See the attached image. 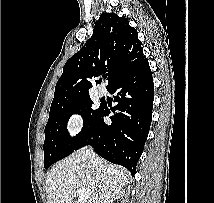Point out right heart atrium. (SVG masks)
Wrapping results in <instances>:
<instances>
[{"label": "right heart atrium", "mask_w": 214, "mask_h": 203, "mask_svg": "<svg viewBox=\"0 0 214 203\" xmlns=\"http://www.w3.org/2000/svg\"><path fill=\"white\" fill-rule=\"evenodd\" d=\"M65 125L68 133L72 137H76L82 132L85 126V118L82 113L73 112L66 119Z\"/></svg>", "instance_id": "obj_1"}]
</instances>
